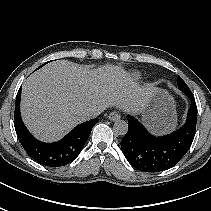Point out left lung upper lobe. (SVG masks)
<instances>
[{"label":"left lung upper lobe","mask_w":211,"mask_h":211,"mask_svg":"<svg viewBox=\"0 0 211 211\" xmlns=\"http://www.w3.org/2000/svg\"><path fill=\"white\" fill-rule=\"evenodd\" d=\"M177 85L181 91L190 90L180 77H178Z\"/></svg>","instance_id":"1"}]
</instances>
